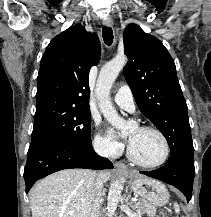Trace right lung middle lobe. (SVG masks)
I'll list each match as a JSON object with an SVG mask.
<instances>
[{
	"label": "right lung middle lobe",
	"mask_w": 211,
	"mask_h": 217,
	"mask_svg": "<svg viewBox=\"0 0 211 217\" xmlns=\"http://www.w3.org/2000/svg\"><path fill=\"white\" fill-rule=\"evenodd\" d=\"M90 111L53 112L35 118L34 140H56L79 148L92 145Z\"/></svg>",
	"instance_id": "1"
}]
</instances>
